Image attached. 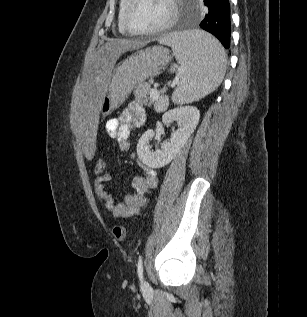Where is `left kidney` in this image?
<instances>
[{
  "instance_id": "5707ae66",
  "label": "left kidney",
  "mask_w": 307,
  "mask_h": 317,
  "mask_svg": "<svg viewBox=\"0 0 307 317\" xmlns=\"http://www.w3.org/2000/svg\"><path fill=\"white\" fill-rule=\"evenodd\" d=\"M200 119V112L196 107L185 106L166 111L162 116V123L166 126L177 122L178 128L171 134L168 141H164L161 150H150L149 141L154 137L153 130H147L140 137L137 144L139 160L151 168H160L174 158L180 148L194 132Z\"/></svg>"
}]
</instances>
